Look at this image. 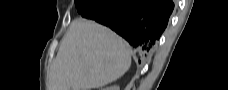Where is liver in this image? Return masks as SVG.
<instances>
[{
    "instance_id": "1",
    "label": "liver",
    "mask_w": 228,
    "mask_h": 90,
    "mask_svg": "<svg viewBox=\"0 0 228 90\" xmlns=\"http://www.w3.org/2000/svg\"><path fill=\"white\" fill-rule=\"evenodd\" d=\"M131 66L127 44L93 21H72L61 41L50 72L48 90L102 88L123 76Z\"/></svg>"
}]
</instances>
